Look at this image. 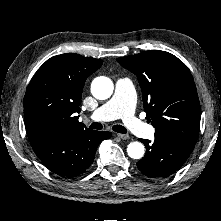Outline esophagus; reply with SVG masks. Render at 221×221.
Listing matches in <instances>:
<instances>
[{"instance_id":"34e87169","label":"esophagus","mask_w":221,"mask_h":221,"mask_svg":"<svg viewBox=\"0 0 221 221\" xmlns=\"http://www.w3.org/2000/svg\"><path fill=\"white\" fill-rule=\"evenodd\" d=\"M117 137L123 139V140H127L129 139V135L128 134H121V133H118L117 134Z\"/></svg>"}]
</instances>
